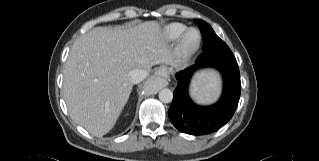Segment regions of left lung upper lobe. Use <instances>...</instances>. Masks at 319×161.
<instances>
[{"label":"left lung upper lobe","mask_w":319,"mask_h":161,"mask_svg":"<svg viewBox=\"0 0 319 161\" xmlns=\"http://www.w3.org/2000/svg\"><path fill=\"white\" fill-rule=\"evenodd\" d=\"M195 22L198 24L203 36V50L202 54L197 59L198 63L215 61L236 62L229 47L215 34L209 24L200 19H196Z\"/></svg>","instance_id":"obj_1"}]
</instances>
